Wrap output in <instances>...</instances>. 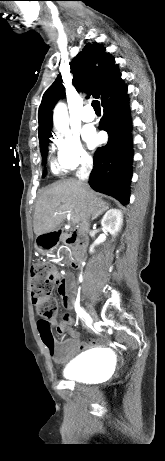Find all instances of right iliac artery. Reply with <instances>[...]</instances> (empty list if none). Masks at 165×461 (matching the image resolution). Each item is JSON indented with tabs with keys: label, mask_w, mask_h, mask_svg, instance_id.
<instances>
[{
	"label": "right iliac artery",
	"mask_w": 165,
	"mask_h": 461,
	"mask_svg": "<svg viewBox=\"0 0 165 461\" xmlns=\"http://www.w3.org/2000/svg\"><path fill=\"white\" fill-rule=\"evenodd\" d=\"M75 309L77 312H80L81 315L83 316V318L88 322V323H91L92 322V319L91 317L81 309V307L79 306L78 303L75 304Z\"/></svg>",
	"instance_id": "82829eb1"
}]
</instances>
